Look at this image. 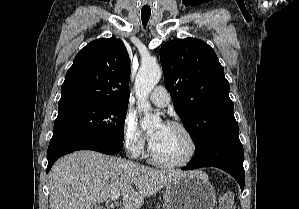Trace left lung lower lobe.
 Here are the masks:
<instances>
[{"label": "left lung lower lobe", "instance_id": "1", "mask_svg": "<svg viewBox=\"0 0 299 209\" xmlns=\"http://www.w3.org/2000/svg\"><path fill=\"white\" fill-rule=\"evenodd\" d=\"M238 135V124L225 128L214 135L201 152L194 154L192 162L182 169L193 170L210 166L220 168L232 175L243 191L245 183L244 151Z\"/></svg>", "mask_w": 299, "mask_h": 209}]
</instances>
